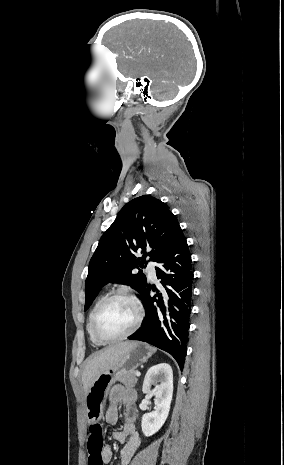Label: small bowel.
Masks as SVG:
<instances>
[{"label": "small bowel", "instance_id": "small-bowel-1", "mask_svg": "<svg viewBox=\"0 0 284 465\" xmlns=\"http://www.w3.org/2000/svg\"><path fill=\"white\" fill-rule=\"evenodd\" d=\"M136 398L137 394L135 390L126 389L120 384L113 386L109 393V404L105 414V420L108 424L113 425L118 421L120 407L124 405V423L122 429L112 433V437L123 445L120 452L121 465L130 464L141 442L136 431L137 411L134 408ZM112 457V449L106 446L103 450L104 462L109 463Z\"/></svg>", "mask_w": 284, "mask_h": 465}]
</instances>
